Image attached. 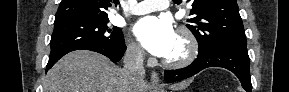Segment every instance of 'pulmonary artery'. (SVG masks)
Instances as JSON below:
<instances>
[{
  "label": "pulmonary artery",
  "instance_id": "e3ab8cb5",
  "mask_svg": "<svg viewBox=\"0 0 289 92\" xmlns=\"http://www.w3.org/2000/svg\"><path fill=\"white\" fill-rule=\"evenodd\" d=\"M168 7L169 2L167 0H144L137 3L131 9V13L134 15H143L158 10H164Z\"/></svg>",
  "mask_w": 289,
  "mask_h": 92
}]
</instances>
